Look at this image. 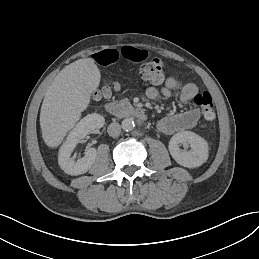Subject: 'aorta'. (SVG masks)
<instances>
[{"mask_svg": "<svg viewBox=\"0 0 259 259\" xmlns=\"http://www.w3.org/2000/svg\"><path fill=\"white\" fill-rule=\"evenodd\" d=\"M122 129L125 131L133 130L135 124L132 118H125L121 123Z\"/></svg>", "mask_w": 259, "mask_h": 259, "instance_id": "obj_1", "label": "aorta"}]
</instances>
